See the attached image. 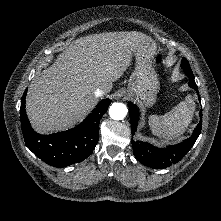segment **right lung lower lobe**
Here are the masks:
<instances>
[{"label": "right lung lower lobe", "instance_id": "98d812e1", "mask_svg": "<svg viewBox=\"0 0 221 221\" xmlns=\"http://www.w3.org/2000/svg\"><path fill=\"white\" fill-rule=\"evenodd\" d=\"M25 91L20 108L21 127L26 146L45 163L66 167L79 163L92 154L99 140V123L111 100L100 101L91 114L78 126L67 131L41 135L36 133L25 111Z\"/></svg>", "mask_w": 221, "mask_h": 221}]
</instances>
